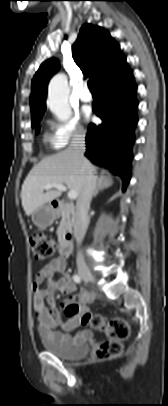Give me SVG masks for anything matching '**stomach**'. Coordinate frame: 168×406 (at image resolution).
Returning <instances> with one entry per match:
<instances>
[{"mask_svg":"<svg viewBox=\"0 0 168 406\" xmlns=\"http://www.w3.org/2000/svg\"><path fill=\"white\" fill-rule=\"evenodd\" d=\"M57 212L49 205H44L37 208L31 215L32 222L40 227L44 228L50 226L56 219Z\"/></svg>","mask_w":168,"mask_h":406,"instance_id":"1","label":"stomach"}]
</instances>
